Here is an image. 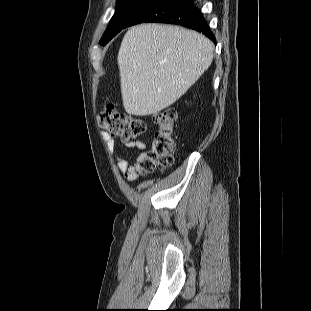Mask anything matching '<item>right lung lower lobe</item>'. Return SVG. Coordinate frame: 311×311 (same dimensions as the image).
Returning a JSON list of instances; mask_svg holds the SVG:
<instances>
[{"mask_svg":"<svg viewBox=\"0 0 311 311\" xmlns=\"http://www.w3.org/2000/svg\"><path fill=\"white\" fill-rule=\"evenodd\" d=\"M143 22L181 25L203 33L216 43L215 36L192 0H156L134 16L126 27Z\"/></svg>","mask_w":311,"mask_h":311,"instance_id":"right-lung-lower-lobe-1","label":"right lung lower lobe"}]
</instances>
